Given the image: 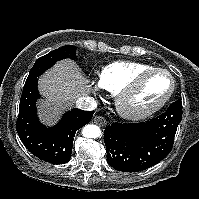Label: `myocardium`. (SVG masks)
<instances>
[{
	"label": "myocardium",
	"instance_id": "f54148a6",
	"mask_svg": "<svg viewBox=\"0 0 199 199\" xmlns=\"http://www.w3.org/2000/svg\"><path fill=\"white\" fill-rule=\"evenodd\" d=\"M164 74L168 76L171 82V87L168 93L155 105L150 107H134L130 104L131 98L139 90L143 82L151 75ZM176 89V81L173 75L163 68H150L137 73L117 94H116V107L119 114L128 120H142L148 118L162 109L167 102L171 99Z\"/></svg>",
	"mask_w": 199,
	"mask_h": 199
}]
</instances>
